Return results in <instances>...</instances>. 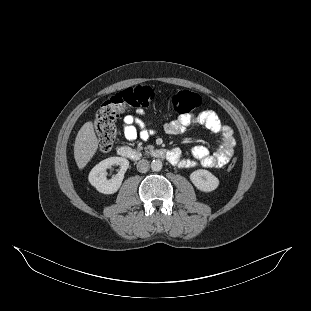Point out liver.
<instances>
[{"label": "liver", "instance_id": "1", "mask_svg": "<svg viewBox=\"0 0 311 311\" xmlns=\"http://www.w3.org/2000/svg\"><path fill=\"white\" fill-rule=\"evenodd\" d=\"M97 149V139L91 122L85 123L79 130L76 140L74 155L79 168H83L94 155Z\"/></svg>", "mask_w": 311, "mask_h": 311}]
</instances>
